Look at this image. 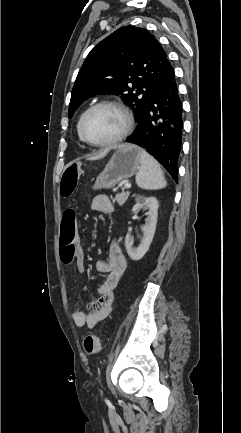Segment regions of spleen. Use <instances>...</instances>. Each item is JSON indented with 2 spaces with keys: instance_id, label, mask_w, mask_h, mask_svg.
Returning a JSON list of instances; mask_svg holds the SVG:
<instances>
[{
  "instance_id": "1",
  "label": "spleen",
  "mask_w": 241,
  "mask_h": 433,
  "mask_svg": "<svg viewBox=\"0 0 241 433\" xmlns=\"http://www.w3.org/2000/svg\"><path fill=\"white\" fill-rule=\"evenodd\" d=\"M140 164L135 178L138 187L144 190H159L166 187L167 182L159 163L145 150H141Z\"/></svg>"
}]
</instances>
